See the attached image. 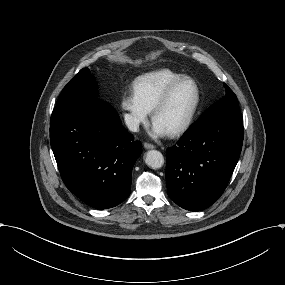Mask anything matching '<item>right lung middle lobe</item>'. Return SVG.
<instances>
[{"instance_id": "1", "label": "right lung middle lobe", "mask_w": 285, "mask_h": 285, "mask_svg": "<svg viewBox=\"0 0 285 285\" xmlns=\"http://www.w3.org/2000/svg\"><path fill=\"white\" fill-rule=\"evenodd\" d=\"M82 100H100L97 98V84L88 68L81 69L64 87L57 105Z\"/></svg>"}]
</instances>
